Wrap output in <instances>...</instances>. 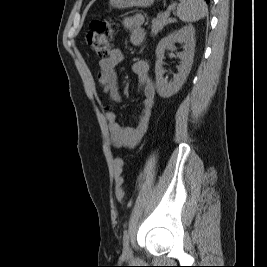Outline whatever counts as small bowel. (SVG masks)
I'll use <instances>...</instances> for the list:
<instances>
[{
  "label": "small bowel",
  "mask_w": 267,
  "mask_h": 267,
  "mask_svg": "<svg viewBox=\"0 0 267 267\" xmlns=\"http://www.w3.org/2000/svg\"><path fill=\"white\" fill-rule=\"evenodd\" d=\"M144 21L145 18L142 14H134L124 20V26L130 33V42L135 47H140L144 42ZM122 60V51L118 48L112 49L107 57L99 61L98 81L111 101L105 105L104 109L113 147L134 148L141 142L152 117L155 87L150 76L148 62L144 59L136 60L132 65V70L137 77L138 86L143 92L142 110L136 126L121 125L116 119L113 108L115 103L121 101L116 67Z\"/></svg>",
  "instance_id": "1"
}]
</instances>
